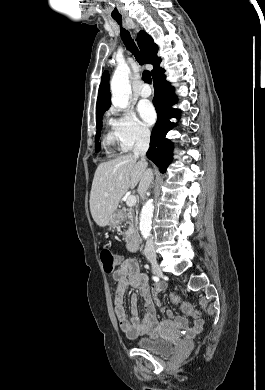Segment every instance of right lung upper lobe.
I'll use <instances>...</instances> for the list:
<instances>
[{"instance_id": "obj_1", "label": "right lung upper lobe", "mask_w": 265, "mask_h": 390, "mask_svg": "<svg viewBox=\"0 0 265 390\" xmlns=\"http://www.w3.org/2000/svg\"><path fill=\"white\" fill-rule=\"evenodd\" d=\"M137 43L143 54V59L146 63L153 64L154 68L151 71L152 77L156 76L162 68H160L161 58L157 56L158 47L154 43L151 36L146 32L140 31L137 35ZM110 90H109V74L105 71L102 75V80L99 87L96 119L103 116V113L110 107Z\"/></svg>"}]
</instances>
